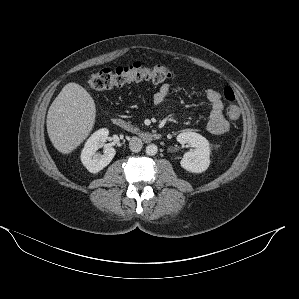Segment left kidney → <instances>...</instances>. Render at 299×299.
Returning <instances> with one entry per match:
<instances>
[{"label": "left kidney", "mask_w": 299, "mask_h": 299, "mask_svg": "<svg viewBox=\"0 0 299 299\" xmlns=\"http://www.w3.org/2000/svg\"><path fill=\"white\" fill-rule=\"evenodd\" d=\"M180 144L188 143L193 150L184 154L180 164L181 167L192 173H202L210 165V147L208 140L202 135L187 131L177 136Z\"/></svg>", "instance_id": "5707ae66"}]
</instances>
